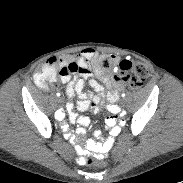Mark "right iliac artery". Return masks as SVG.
<instances>
[{
    "instance_id": "obj_1",
    "label": "right iliac artery",
    "mask_w": 183,
    "mask_h": 183,
    "mask_svg": "<svg viewBox=\"0 0 183 183\" xmlns=\"http://www.w3.org/2000/svg\"><path fill=\"white\" fill-rule=\"evenodd\" d=\"M57 96H60V94L57 93ZM55 116H56L57 118H61V117H62V112H61V111H57L56 114H55Z\"/></svg>"
}]
</instances>
